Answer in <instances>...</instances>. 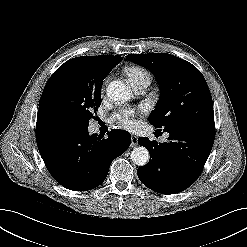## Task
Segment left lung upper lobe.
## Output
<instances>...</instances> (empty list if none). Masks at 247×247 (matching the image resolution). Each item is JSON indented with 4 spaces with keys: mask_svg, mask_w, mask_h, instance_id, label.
Wrapping results in <instances>:
<instances>
[{
    "mask_svg": "<svg viewBox=\"0 0 247 247\" xmlns=\"http://www.w3.org/2000/svg\"><path fill=\"white\" fill-rule=\"evenodd\" d=\"M150 70L161 89L149 122L165 132L215 131L212 97L201 72L168 53L129 54L127 59Z\"/></svg>",
    "mask_w": 247,
    "mask_h": 247,
    "instance_id": "left-lung-upper-lobe-1",
    "label": "left lung upper lobe"
}]
</instances>
